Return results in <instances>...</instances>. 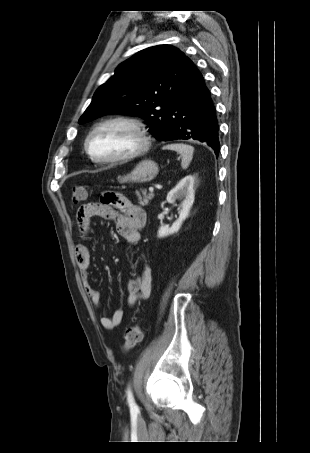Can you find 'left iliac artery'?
Returning a JSON list of instances; mask_svg holds the SVG:
<instances>
[{"mask_svg": "<svg viewBox=\"0 0 310 453\" xmlns=\"http://www.w3.org/2000/svg\"><path fill=\"white\" fill-rule=\"evenodd\" d=\"M127 400H128V404H129L131 411H138V406L135 403V400H134L130 387H128V389H127Z\"/></svg>", "mask_w": 310, "mask_h": 453, "instance_id": "44dca946", "label": "left iliac artery"}]
</instances>
